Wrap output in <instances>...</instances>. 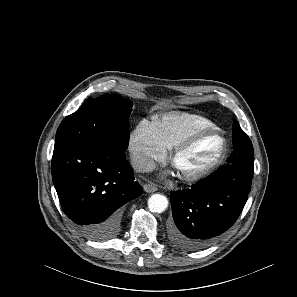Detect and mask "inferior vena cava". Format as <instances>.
Segmentation results:
<instances>
[{"instance_id": "1", "label": "inferior vena cava", "mask_w": 297, "mask_h": 297, "mask_svg": "<svg viewBox=\"0 0 297 297\" xmlns=\"http://www.w3.org/2000/svg\"><path fill=\"white\" fill-rule=\"evenodd\" d=\"M131 164L133 169L137 172H150L155 168L154 162L144 157H133Z\"/></svg>"}]
</instances>
